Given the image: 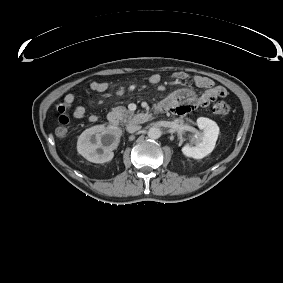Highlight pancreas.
Here are the masks:
<instances>
[{
    "label": "pancreas",
    "mask_w": 283,
    "mask_h": 283,
    "mask_svg": "<svg viewBox=\"0 0 283 283\" xmlns=\"http://www.w3.org/2000/svg\"><path fill=\"white\" fill-rule=\"evenodd\" d=\"M115 117H117L123 123H139L142 121L140 114H134V112L126 109L124 106H118L112 109L111 112Z\"/></svg>",
    "instance_id": "cf45deb5"
}]
</instances>
